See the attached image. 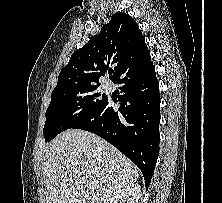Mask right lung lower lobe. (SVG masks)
<instances>
[{
  "instance_id": "right-lung-lower-lobe-1",
  "label": "right lung lower lobe",
  "mask_w": 222,
  "mask_h": 203,
  "mask_svg": "<svg viewBox=\"0 0 222 203\" xmlns=\"http://www.w3.org/2000/svg\"><path fill=\"white\" fill-rule=\"evenodd\" d=\"M120 107L115 111L107 99L95 111L70 128L102 137L141 170L146 189L159 155L160 95L155 67L150 61L117 78ZM69 128V129H70Z\"/></svg>"
}]
</instances>
